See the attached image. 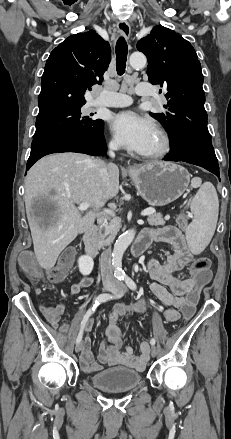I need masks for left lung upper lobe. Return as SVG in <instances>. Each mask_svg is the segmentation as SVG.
Segmentation results:
<instances>
[{"instance_id":"left-lung-upper-lobe-1","label":"left lung upper lobe","mask_w":231,"mask_h":439,"mask_svg":"<svg viewBox=\"0 0 231 439\" xmlns=\"http://www.w3.org/2000/svg\"><path fill=\"white\" fill-rule=\"evenodd\" d=\"M137 49L147 56L149 81L165 90L166 114L150 115L166 128L171 145L184 139L211 142L203 75L192 45L173 30L156 26L137 43Z\"/></svg>"}]
</instances>
